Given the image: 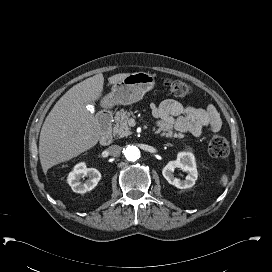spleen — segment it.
<instances>
[{
    "mask_svg": "<svg viewBox=\"0 0 272 272\" xmlns=\"http://www.w3.org/2000/svg\"><path fill=\"white\" fill-rule=\"evenodd\" d=\"M221 182H222L223 186L227 185V183H228V177H227V175H223L221 177Z\"/></svg>",
    "mask_w": 272,
    "mask_h": 272,
    "instance_id": "3e777b00",
    "label": "spleen"
}]
</instances>
